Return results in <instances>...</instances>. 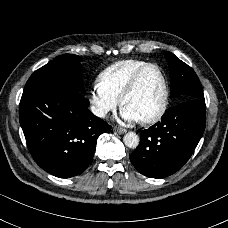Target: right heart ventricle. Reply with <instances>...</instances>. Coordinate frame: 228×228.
I'll return each mask as SVG.
<instances>
[{"label": "right heart ventricle", "instance_id": "e07e8e85", "mask_svg": "<svg viewBox=\"0 0 228 228\" xmlns=\"http://www.w3.org/2000/svg\"><path fill=\"white\" fill-rule=\"evenodd\" d=\"M149 63L139 59L116 61L99 73L98 84L104 92L119 101L134 74Z\"/></svg>", "mask_w": 228, "mask_h": 228}]
</instances>
